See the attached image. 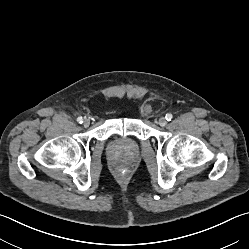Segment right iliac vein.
<instances>
[{"mask_svg":"<svg viewBox=\"0 0 249 249\" xmlns=\"http://www.w3.org/2000/svg\"><path fill=\"white\" fill-rule=\"evenodd\" d=\"M90 125V120L89 119H85L84 121H83V126L84 127H88Z\"/></svg>","mask_w":249,"mask_h":249,"instance_id":"1","label":"right iliac vein"}]
</instances>
